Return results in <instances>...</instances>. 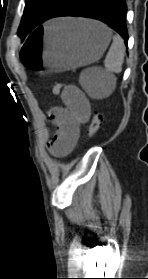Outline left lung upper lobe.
I'll return each mask as SVG.
<instances>
[{"mask_svg": "<svg viewBox=\"0 0 148 279\" xmlns=\"http://www.w3.org/2000/svg\"><path fill=\"white\" fill-rule=\"evenodd\" d=\"M66 0H25V9L18 29V36L25 37L59 9Z\"/></svg>", "mask_w": 148, "mask_h": 279, "instance_id": "left-lung-upper-lobe-1", "label": "left lung upper lobe"}]
</instances>
